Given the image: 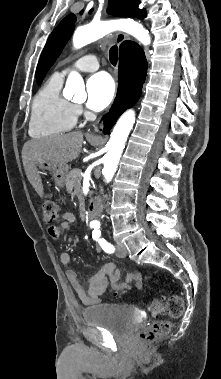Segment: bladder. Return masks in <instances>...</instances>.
<instances>
[{
	"instance_id": "obj_1",
	"label": "bladder",
	"mask_w": 221,
	"mask_h": 379,
	"mask_svg": "<svg viewBox=\"0 0 221 379\" xmlns=\"http://www.w3.org/2000/svg\"><path fill=\"white\" fill-rule=\"evenodd\" d=\"M82 316L86 324L104 328L112 335L121 337L129 335L139 323L133 308L117 304H101L86 308Z\"/></svg>"
}]
</instances>
